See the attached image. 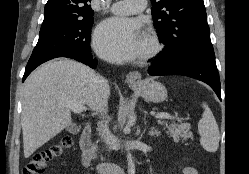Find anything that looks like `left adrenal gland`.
Listing matches in <instances>:
<instances>
[{"label":"left adrenal gland","instance_id":"obj_1","mask_svg":"<svg viewBox=\"0 0 249 174\" xmlns=\"http://www.w3.org/2000/svg\"><path fill=\"white\" fill-rule=\"evenodd\" d=\"M150 136H158L159 135V132L155 129V128H152L151 131H149L148 133Z\"/></svg>","mask_w":249,"mask_h":174}]
</instances>
